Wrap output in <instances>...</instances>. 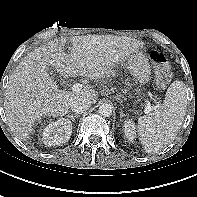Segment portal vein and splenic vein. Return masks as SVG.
I'll list each match as a JSON object with an SVG mask.
<instances>
[{
  "instance_id": "18ae733b",
  "label": "portal vein and splenic vein",
  "mask_w": 197,
  "mask_h": 197,
  "mask_svg": "<svg viewBox=\"0 0 197 197\" xmlns=\"http://www.w3.org/2000/svg\"><path fill=\"white\" fill-rule=\"evenodd\" d=\"M81 89H82V84H80V83H75V84L72 86V90H73L74 92H79ZM152 110H153V107L151 106L150 102H149V101H146V106H145L144 112H145L146 114H148V113H150Z\"/></svg>"
}]
</instances>
